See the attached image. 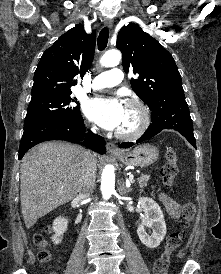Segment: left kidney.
I'll list each match as a JSON object with an SVG mask.
<instances>
[{"label": "left kidney", "mask_w": 221, "mask_h": 274, "mask_svg": "<svg viewBox=\"0 0 221 274\" xmlns=\"http://www.w3.org/2000/svg\"><path fill=\"white\" fill-rule=\"evenodd\" d=\"M139 204L144 212L141 224L137 228L140 241L148 248L158 247L166 235V223L159 205L151 198H139ZM151 227L152 235H148L145 227Z\"/></svg>", "instance_id": "left-kidney-1"}]
</instances>
